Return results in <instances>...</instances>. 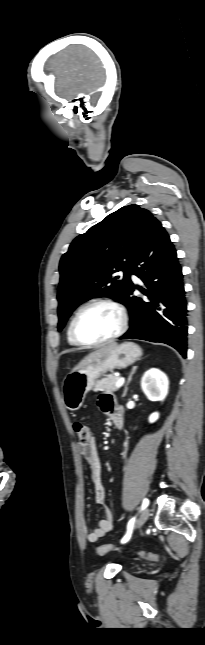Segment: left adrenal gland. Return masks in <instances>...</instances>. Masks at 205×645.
<instances>
[{"label":"left adrenal gland","mask_w":205,"mask_h":645,"mask_svg":"<svg viewBox=\"0 0 205 645\" xmlns=\"http://www.w3.org/2000/svg\"><path fill=\"white\" fill-rule=\"evenodd\" d=\"M136 370H137V366L133 367V369H132V371H131V373H130V375H129V377H128V381H127V383H126V385H125V389H124V392H123L122 397H125V396H126L127 391H128V385L130 384V382H131V380H132V377H133V375H134V373H135V371H136Z\"/></svg>","instance_id":"obj_1"}]
</instances>
